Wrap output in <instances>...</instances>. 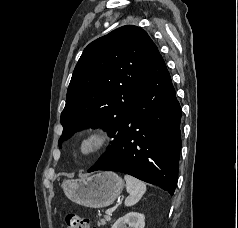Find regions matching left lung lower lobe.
<instances>
[{
  "instance_id": "obj_1",
  "label": "left lung lower lobe",
  "mask_w": 238,
  "mask_h": 228,
  "mask_svg": "<svg viewBox=\"0 0 238 228\" xmlns=\"http://www.w3.org/2000/svg\"><path fill=\"white\" fill-rule=\"evenodd\" d=\"M180 122L181 107L159 53L121 124L111 158L88 172L126 173L173 195L181 149Z\"/></svg>"
}]
</instances>
